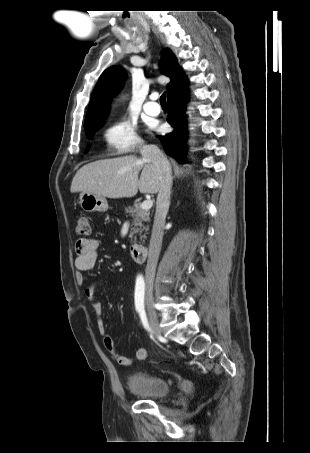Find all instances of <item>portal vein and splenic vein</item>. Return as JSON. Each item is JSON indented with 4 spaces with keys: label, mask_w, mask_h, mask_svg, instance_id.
Segmentation results:
<instances>
[{
    "label": "portal vein and splenic vein",
    "mask_w": 310,
    "mask_h": 453,
    "mask_svg": "<svg viewBox=\"0 0 310 453\" xmlns=\"http://www.w3.org/2000/svg\"><path fill=\"white\" fill-rule=\"evenodd\" d=\"M153 206V202L152 200H145L142 204H141V208L143 210H150Z\"/></svg>",
    "instance_id": "obj_1"
}]
</instances>
